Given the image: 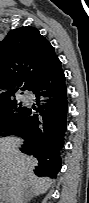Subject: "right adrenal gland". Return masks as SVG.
Masks as SVG:
<instances>
[{
    "label": "right adrenal gland",
    "mask_w": 89,
    "mask_h": 203,
    "mask_svg": "<svg viewBox=\"0 0 89 203\" xmlns=\"http://www.w3.org/2000/svg\"><path fill=\"white\" fill-rule=\"evenodd\" d=\"M35 195L31 191H27L24 197V203L30 202Z\"/></svg>",
    "instance_id": "right-adrenal-gland-1"
}]
</instances>
